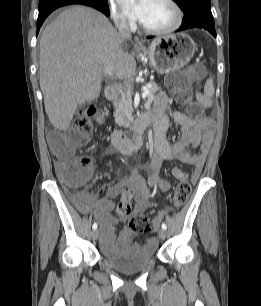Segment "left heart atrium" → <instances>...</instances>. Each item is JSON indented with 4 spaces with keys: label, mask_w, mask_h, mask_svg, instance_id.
<instances>
[{
    "label": "left heart atrium",
    "mask_w": 261,
    "mask_h": 306,
    "mask_svg": "<svg viewBox=\"0 0 261 306\" xmlns=\"http://www.w3.org/2000/svg\"><path fill=\"white\" fill-rule=\"evenodd\" d=\"M149 0H120L124 12L132 19L140 20Z\"/></svg>",
    "instance_id": "39dd6f15"
}]
</instances>
